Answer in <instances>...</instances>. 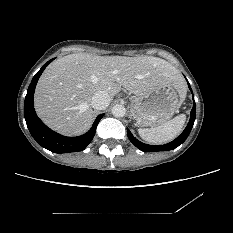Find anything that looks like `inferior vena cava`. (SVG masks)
Returning a JSON list of instances; mask_svg holds the SVG:
<instances>
[{
  "instance_id": "1",
  "label": "inferior vena cava",
  "mask_w": 233,
  "mask_h": 233,
  "mask_svg": "<svg viewBox=\"0 0 233 233\" xmlns=\"http://www.w3.org/2000/svg\"><path fill=\"white\" fill-rule=\"evenodd\" d=\"M110 101L111 99L108 93L98 91L92 97L91 106L96 110H104L109 106Z\"/></svg>"
}]
</instances>
